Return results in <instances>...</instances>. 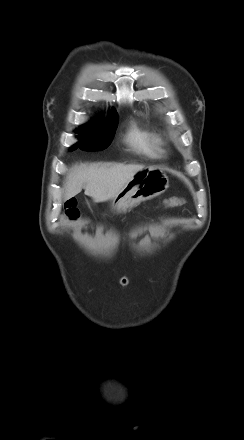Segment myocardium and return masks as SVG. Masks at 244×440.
Instances as JSON below:
<instances>
[{"instance_id": "obj_1", "label": "myocardium", "mask_w": 244, "mask_h": 440, "mask_svg": "<svg viewBox=\"0 0 244 440\" xmlns=\"http://www.w3.org/2000/svg\"><path fill=\"white\" fill-rule=\"evenodd\" d=\"M160 145H163V142L160 141Z\"/></svg>"}]
</instances>
